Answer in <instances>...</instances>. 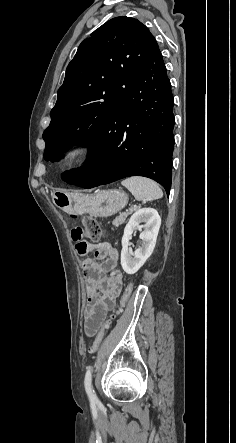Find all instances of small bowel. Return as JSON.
<instances>
[{
    "instance_id": "small-bowel-1",
    "label": "small bowel",
    "mask_w": 236,
    "mask_h": 443,
    "mask_svg": "<svg viewBox=\"0 0 236 443\" xmlns=\"http://www.w3.org/2000/svg\"><path fill=\"white\" fill-rule=\"evenodd\" d=\"M86 255L93 252L100 263L90 258L82 261V268L86 273V295L87 305L85 311L84 329L88 336H93L101 327L109 310L115 306L116 297L121 293L123 287V274L118 269L119 251L109 243L89 244ZM109 273L108 277L104 274Z\"/></svg>"
}]
</instances>
